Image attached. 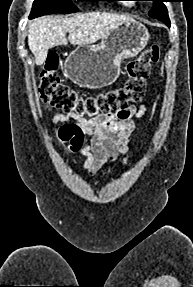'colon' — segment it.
Masks as SVG:
<instances>
[{
  "instance_id": "1",
  "label": "colon",
  "mask_w": 193,
  "mask_h": 287,
  "mask_svg": "<svg viewBox=\"0 0 193 287\" xmlns=\"http://www.w3.org/2000/svg\"><path fill=\"white\" fill-rule=\"evenodd\" d=\"M158 58L159 47L154 45L127 63L128 80L122 87L80 94L61 82L57 73L59 58L50 53L40 74L38 94L44 102L64 112L75 113L86 121L99 120L143 98L150 67Z\"/></svg>"
}]
</instances>
